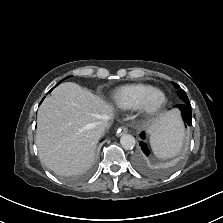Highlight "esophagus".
Returning a JSON list of instances; mask_svg holds the SVG:
<instances>
[{
  "label": "esophagus",
  "instance_id": "34e87169",
  "mask_svg": "<svg viewBox=\"0 0 223 223\" xmlns=\"http://www.w3.org/2000/svg\"><path fill=\"white\" fill-rule=\"evenodd\" d=\"M128 132V128L126 126H122L117 130V136H121Z\"/></svg>",
  "mask_w": 223,
  "mask_h": 223
}]
</instances>
